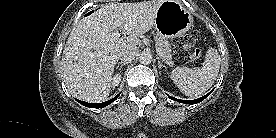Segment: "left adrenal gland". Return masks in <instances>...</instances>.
I'll list each match as a JSON object with an SVG mask.
<instances>
[{
  "label": "left adrenal gland",
  "instance_id": "obj_1",
  "mask_svg": "<svg viewBox=\"0 0 276 138\" xmlns=\"http://www.w3.org/2000/svg\"><path fill=\"white\" fill-rule=\"evenodd\" d=\"M157 59H158V68H159V69H161L162 67H165V68H166V66H165L164 64H162L160 58L157 57Z\"/></svg>",
  "mask_w": 276,
  "mask_h": 138
}]
</instances>
